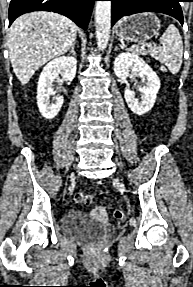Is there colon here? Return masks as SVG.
<instances>
[{"label": "colon", "instance_id": "1", "mask_svg": "<svg viewBox=\"0 0 193 287\" xmlns=\"http://www.w3.org/2000/svg\"><path fill=\"white\" fill-rule=\"evenodd\" d=\"M73 200L77 204H84V205H91L93 202V199L90 195H86L81 192L75 193L73 196ZM114 217L118 220H122L125 217V213L122 209H115Z\"/></svg>", "mask_w": 193, "mask_h": 287}]
</instances>
